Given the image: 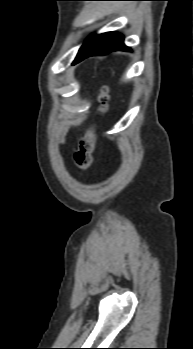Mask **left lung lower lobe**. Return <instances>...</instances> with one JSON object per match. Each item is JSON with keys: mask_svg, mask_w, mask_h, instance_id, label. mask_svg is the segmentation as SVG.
<instances>
[{"mask_svg": "<svg viewBox=\"0 0 193 349\" xmlns=\"http://www.w3.org/2000/svg\"><path fill=\"white\" fill-rule=\"evenodd\" d=\"M116 50L130 51V47L123 44V36L121 34L106 32L103 34L91 35L80 48L72 65L89 56L106 54Z\"/></svg>", "mask_w": 193, "mask_h": 349, "instance_id": "0a47b994", "label": "left lung lower lobe"}]
</instances>
